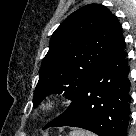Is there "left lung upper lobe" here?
I'll return each instance as SVG.
<instances>
[{
	"label": "left lung upper lobe",
	"instance_id": "1",
	"mask_svg": "<svg viewBox=\"0 0 136 136\" xmlns=\"http://www.w3.org/2000/svg\"><path fill=\"white\" fill-rule=\"evenodd\" d=\"M120 23L105 6L86 5L55 30L34 92L35 107L49 94L64 92L73 100L102 64L120 31Z\"/></svg>",
	"mask_w": 136,
	"mask_h": 136
}]
</instances>
